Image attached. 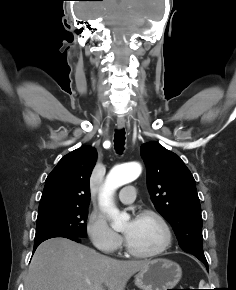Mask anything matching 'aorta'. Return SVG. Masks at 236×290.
<instances>
[{
    "label": "aorta",
    "mask_w": 236,
    "mask_h": 290,
    "mask_svg": "<svg viewBox=\"0 0 236 290\" xmlns=\"http://www.w3.org/2000/svg\"><path fill=\"white\" fill-rule=\"evenodd\" d=\"M141 170L140 164L134 162L115 166L106 177L99 195V202L112 220L111 227L116 231L123 229L130 216L126 212H120L114 205L113 194L119 187L136 180L141 174Z\"/></svg>",
    "instance_id": "1"
}]
</instances>
